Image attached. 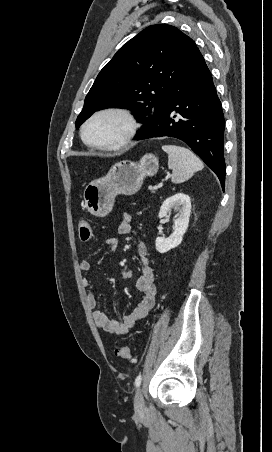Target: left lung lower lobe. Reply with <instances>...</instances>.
I'll use <instances>...</instances> for the list:
<instances>
[{
  "label": "left lung lower lobe",
  "instance_id": "0a47b994",
  "mask_svg": "<svg viewBox=\"0 0 272 452\" xmlns=\"http://www.w3.org/2000/svg\"><path fill=\"white\" fill-rule=\"evenodd\" d=\"M225 121L211 73L197 49L179 79L159 120L135 139L171 136L183 140L225 182Z\"/></svg>",
  "mask_w": 272,
  "mask_h": 452
}]
</instances>
